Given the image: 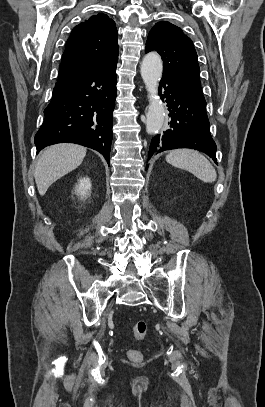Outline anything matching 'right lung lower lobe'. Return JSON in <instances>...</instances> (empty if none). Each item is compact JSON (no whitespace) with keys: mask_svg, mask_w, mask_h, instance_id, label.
Listing matches in <instances>:
<instances>
[{"mask_svg":"<svg viewBox=\"0 0 265 407\" xmlns=\"http://www.w3.org/2000/svg\"><path fill=\"white\" fill-rule=\"evenodd\" d=\"M117 60L67 84L55 86L45 120L35 135L37 152L70 142L100 152L110 162Z\"/></svg>","mask_w":265,"mask_h":407,"instance_id":"1","label":"right lung lower lobe"}]
</instances>
